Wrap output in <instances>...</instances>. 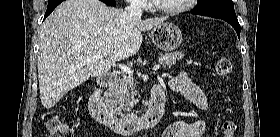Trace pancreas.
I'll return each mask as SVG.
<instances>
[{
  "label": "pancreas",
  "mask_w": 280,
  "mask_h": 137,
  "mask_svg": "<svg viewBox=\"0 0 280 137\" xmlns=\"http://www.w3.org/2000/svg\"><path fill=\"white\" fill-rule=\"evenodd\" d=\"M184 54L181 52L161 54L159 56L160 63L164 68L171 67L178 60H181ZM135 82L131 77L124 76L119 79L115 89L109 94L106 100L107 108L112 114H116L124 119H130L134 116L133 107L136 105Z\"/></svg>",
  "instance_id": "obj_1"
}]
</instances>
